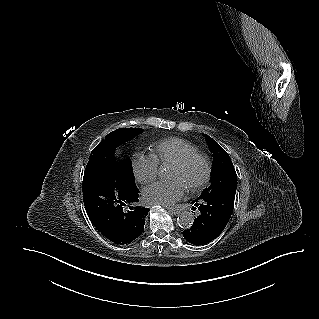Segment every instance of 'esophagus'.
<instances>
[{"label":"esophagus","instance_id":"obj_1","mask_svg":"<svg viewBox=\"0 0 319 319\" xmlns=\"http://www.w3.org/2000/svg\"><path fill=\"white\" fill-rule=\"evenodd\" d=\"M168 211L171 212L172 214L174 215H177L180 213V211L176 208H173V207H167Z\"/></svg>","mask_w":319,"mask_h":319}]
</instances>
